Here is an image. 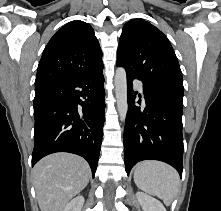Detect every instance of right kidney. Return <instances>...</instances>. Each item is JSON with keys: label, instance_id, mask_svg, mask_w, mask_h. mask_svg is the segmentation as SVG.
I'll return each mask as SVG.
<instances>
[{"label": "right kidney", "instance_id": "ca27d5eb", "mask_svg": "<svg viewBox=\"0 0 221 211\" xmlns=\"http://www.w3.org/2000/svg\"><path fill=\"white\" fill-rule=\"evenodd\" d=\"M84 197L79 195L69 202L63 211H81L84 204Z\"/></svg>", "mask_w": 221, "mask_h": 211}]
</instances>
